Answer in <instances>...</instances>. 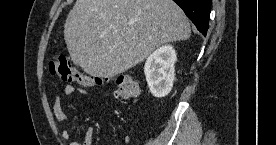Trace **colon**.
Instances as JSON below:
<instances>
[{"instance_id":"1","label":"colon","mask_w":276,"mask_h":145,"mask_svg":"<svg viewBox=\"0 0 276 145\" xmlns=\"http://www.w3.org/2000/svg\"><path fill=\"white\" fill-rule=\"evenodd\" d=\"M49 70L53 76L64 81H74L86 87L101 86L112 82L117 96L123 100L135 98L140 94L138 84L131 77L124 74H118L112 78L95 76L73 67L65 56H55L49 62Z\"/></svg>"}]
</instances>
